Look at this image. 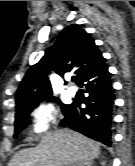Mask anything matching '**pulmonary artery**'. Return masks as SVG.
I'll return each mask as SVG.
<instances>
[{
    "instance_id": "e3ab8cb5",
    "label": "pulmonary artery",
    "mask_w": 135,
    "mask_h": 166,
    "mask_svg": "<svg viewBox=\"0 0 135 166\" xmlns=\"http://www.w3.org/2000/svg\"><path fill=\"white\" fill-rule=\"evenodd\" d=\"M76 92H77V89L73 86L69 87V89L67 91L68 95L71 96V97L75 96Z\"/></svg>"
}]
</instances>
